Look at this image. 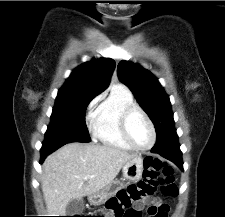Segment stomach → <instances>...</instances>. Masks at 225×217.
I'll return each mask as SVG.
<instances>
[{"label":"stomach","instance_id":"obj_1","mask_svg":"<svg viewBox=\"0 0 225 217\" xmlns=\"http://www.w3.org/2000/svg\"><path fill=\"white\" fill-rule=\"evenodd\" d=\"M144 171V160L141 156H136L126 162L122 168L123 179L129 182H136L142 178ZM124 184L115 180L100 191L89 196V202L93 205L104 204L109 198L117 194Z\"/></svg>","mask_w":225,"mask_h":217}]
</instances>
